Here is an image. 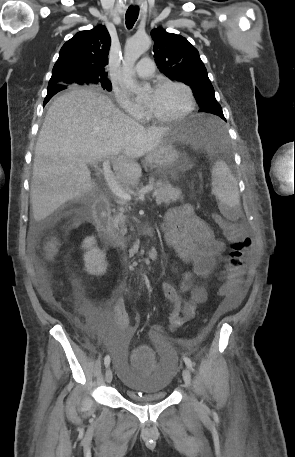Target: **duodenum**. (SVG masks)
Segmentation results:
<instances>
[{"label":"duodenum","mask_w":295,"mask_h":457,"mask_svg":"<svg viewBox=\"0 0 295 457\" xmlns=\"http://www.w3.org/2000/svg\"><path fill=\"white\" fill-rule=\"evenodd\" d=\"M83 214L93 222L107 247L125 248L128 245L129 241L126 238L117 235L112 229L109 220V202L106 195H98L91 207L84 208ZM146 234L153 236L155 230L149 229Z\"/></svg>","instance_id":"410a0bca"}]
</instances>
